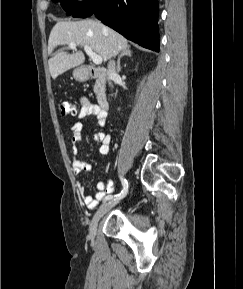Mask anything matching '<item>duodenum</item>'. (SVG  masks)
I'll list each match as a JSON object with an SVG mask.
<instances>
[{
  "label": "duodenum",
  "mask_w": 243,
  "mask_h": 289,
  "mask_svg": "<svg viewBox=\"0 0 243 289\" xmlns=\"http://www.w3.org/2000/svg\"><path fill=\"white\" fill-rule=\"evenodd\" d=\"M83 71L88 78L96 79L99 82V88L96 96L97 102L102 110L107 111L109 108L106 93L107 71L104 68L94 66H85Z\"/></svg>",
  "instance_id": "410a0bca"
}]
</instances>
